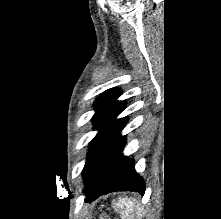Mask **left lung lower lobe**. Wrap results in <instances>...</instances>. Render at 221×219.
<instances>
[{"instance_id":"left-lung-lower-lobe-1","label":"left lung lower lobe","mask_w":221,"mask_h":219,"mask_svg":"<svg viewBox=\"0 0 221 219\" xmlns=\"http://www.w3.org/2000/svg\"><path fill=\"white\" fill-rule=\"evenodd\" d=\"M127 118L120 120L100 141L89 156L82 175L85 201H93L114 191H136L144 194L143 179L134 169V161L122 155L125 137L120 135Z\"/></svg>"}]
</instances>
